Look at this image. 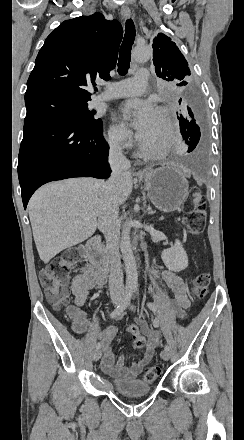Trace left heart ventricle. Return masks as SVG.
Instances as JSON below:
<instances>
[{
  "label": "left heart ventricle",
  "instance_id": "obj_1",
  "mask_svg": "<svg viewBox=\"0 0 244 440\" xmlns=\"http://www.w3.org/2000/svg\"><path fill=\"white\" fill-rule=\"evenodd\" d=\"M166 131L167 121L165 115L155 112L150 126L144 132V137L153 143L154 141H159L162 137H164Z\"/></svg>",
  "mask_w": 244,
  "mask_h": 440
}]
</instances>
